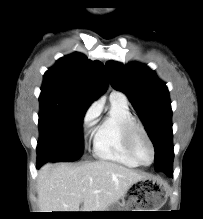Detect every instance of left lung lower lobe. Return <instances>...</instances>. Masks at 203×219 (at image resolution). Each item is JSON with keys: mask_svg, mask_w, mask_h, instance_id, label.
<instances>
[{"mask_svg": "<svg viewBox=\"0 0 203 219\" xmlns=\"http://www.w3.org/2000/svg\"><path fill=\"white\" fill-rule=\"evenodd\" d=\"M159 170L164 172L169 177H172V163L169 165L161 166Z\"/></svg>", "mask_w": 203, "mask_h": 219, "instance_id": "1", "label": "left lung lower lobe"}]
</instances>
